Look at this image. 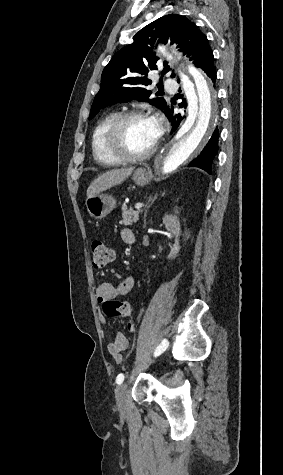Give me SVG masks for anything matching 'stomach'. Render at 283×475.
<instances>
[{
    "mask_svg": "<svg viewBox=\"0 0 283 475\" xmlns=\"http://www.w3.org/2000/svg\"><path fill=\"white\" fill-rule=\"evenodd\" d=\"M152 178H154L152 172L146 170V168H137L132 176L136 186H146V184L151 182ZM115 206L116 200L112 196H107V194H98V196H93V198H87L86 200V208L90 216L96 218V220L105 218L107 214L112 212Z\"/></svg>",
    "mask_w": 283,
    "mask_h": 475,
    "instance_id": "0dacf381",
    "label": "stomach"
}]
</instances>
